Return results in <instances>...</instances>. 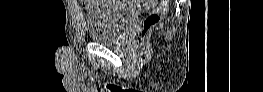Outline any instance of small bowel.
<instances>
[{"label":"small bowel","mask_w":263,"mask_h":92,"mask_svg":"<svg viewBox=\"0 0 263 92\" xmlns=\"http://www.w3.org/2000/svg\"><path fill=\"white\" fill-rule=\"evenodd\" d=\"M96 1H85L86 3V8H91L92 5L95 3ZM145 2L146 4H148L149 6L154 5L153 1H142Z\"/></svg>","instance_id":"small-bowel-1"}]
</instances>
